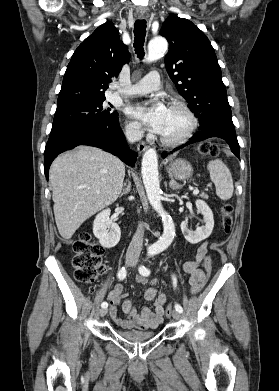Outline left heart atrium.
<instances>
[{"mask_svg": "<svg viewBox=\"0 0 279 391\" xmlns=\"http://www.w3.org/2000/svg\"><path fill=\"white\" fill-rule=\"evenodd\" d=\"M168 113L167 106L160 100L138 103L129 114L153 131L160 133Z\"/></svg>", "mask_w": 279, "mask_h": 391, "instance_id": "39dd6f15", "label": "left heart atrium"}]
</instances>
